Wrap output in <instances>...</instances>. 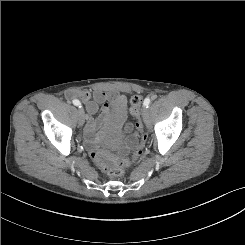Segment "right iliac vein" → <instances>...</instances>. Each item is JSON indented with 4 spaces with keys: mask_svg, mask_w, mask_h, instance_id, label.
Returning a JSON list of instances; mask_svg holds the SVG:
<instances>
[{
    "mask_svg": "<svg viewBox=\"0 0 245 245\" xmlns=\"http://www.w3.org/2000/svg\"><path fill=\"white\" fill-rule=\"evenodd\" d=\"M84 121H85L84 109L79 107V110H78V124H79L80 127L83 126Z\"/></svg>",
    "mask_w": 245,
    "mask_h": 245,
    "instance_id": "right-iliac-vein-1",
    "label": "right iliac vein"
}]
</instances>
